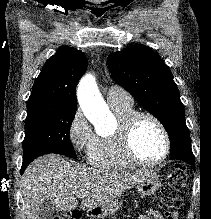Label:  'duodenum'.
Returning a JSON list of instances; mask_svg holds the SVG:
<instances>
[{
  "instance_id": "410a0bca",
  "label": "duodenum",
  "mask_w": 211,
  "mask_h": 219,
  "mask_svg": "<svg viewBox=\"0 0 211 219\" xmlns=\"http://www.w3.org/2000/svg\"><path fill=\"white\" fill-rule=\"evenodd\" d=\"M97 213H99V211L98 210H94V214H97ZM89 214L92 216L93 215L92 211H90Z\"/></svg>"
}]
</instances>
